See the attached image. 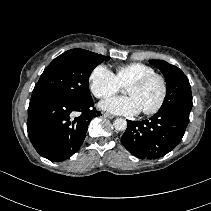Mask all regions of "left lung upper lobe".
<instances>
[{"label":"left lung upper lobe","mask_w":211,"mask_h":211,"mask_svg":"<svg viewBox=\"0 0 211 211\" xmlns=\"http://www.w3.org/2000/svg\"><path fill=\"white\" fill-rule=\"evenodd\" d=\"M159 68L167 83V93L160 110L175 107L190 112L192 108V92L184 73L175 65L163 60H149Z\"/></svg>","instance_id":"left-lung-upper-lobe-1"}]
</instances>
